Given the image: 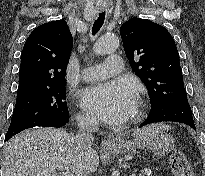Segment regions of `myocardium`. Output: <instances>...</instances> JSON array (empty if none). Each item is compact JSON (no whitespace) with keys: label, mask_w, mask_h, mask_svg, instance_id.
<instances>
[{"label":"myocardium","mask_w":205,"mask_h":176,"mask_svg":"<svg viewBox=\"0 0 205 176\" xmlns=\"http://www.w3.org/2000/svg\"><path fill=\"white\" fill-rule=\"evenodd\" d=\"M143 117H144V102L143 100L139 99L136 105V110L134 111V113L132 114V116L130 117L127 123L128 124L137 123L141 121Z\"/></svg>","instance_id":"obj_1"}]
</instances>
